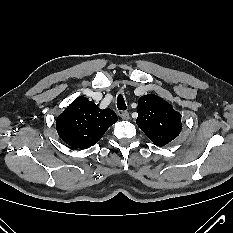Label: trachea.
<instances>
[{"label": "trachea", "mask_w": 233, "mask_h": 233, "mask_svg": "<svg viewBox=\"0 0 233 233\" xmlns=\"http://www.w3.org/2000/svg\"><path fill=\"white\" fill-rule=\"evenodd\" d=\"M117 108L122 111L127 109L124 97L121 94L117 97Z\"/></svg>", "instance_id": "obj_1"}]
</instances>
